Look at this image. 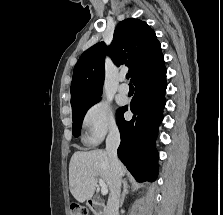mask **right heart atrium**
<instances>
[{
	"instance_id": "right-heart-atrium-1",
	"label": "right heart atrium",
	"mask_w": 223,
	"mask_h": 215,
	"mask_svg": "<svg viewBox=\"0 0 223 215\" xmlns=\"http://www.w3.org/2000/svg\"><path fill=\"white\" fill-rule=\"evenodd\" d=\"M82 124L84 130L91 132V141L101 140L106 133L117 129L112 108L103 100L95 101L86 109Z\"/></svg>"
}]
</instances>
